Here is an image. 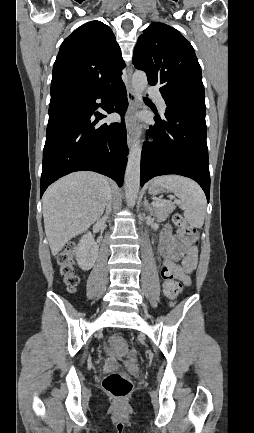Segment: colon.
Returning a JSON list of instances; mask_svg holds the SVG:
<instances>
[{
  "label": "colon",
  "mask_w": 254,
  "mask_h": 433,
  "mask_svg": "<svg viewBox=\"0 0 254 433\" xmlns=\"http://www.w3.org/2000/svg\"><path fill=\"white\" fill-rule=\"evenodd\" d=\"M173 223L177 227L178 234L184 238L190 239L195 242V229L187 225L184 218L176 214L173 217ZM58 264L60 267V275L69 291H74L79 285L80 278L77 274L74 265V248L69 247L58 256ZM163 281L165 283L164 294L167 298L174 300L180 292L181 287L176 281L173 272L165 268L162 271ZM112 344L116 347L122 348L124 346V339L120 336L112 338ZM103 389L105 392L116 400H123L129 396L132 391V382L128 376L122 373H110L103 379Z\"/></svg>",
  "instance_id": "obj_1"
}]
</instances>
